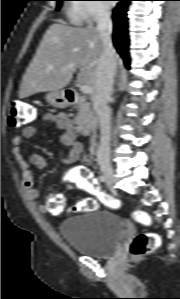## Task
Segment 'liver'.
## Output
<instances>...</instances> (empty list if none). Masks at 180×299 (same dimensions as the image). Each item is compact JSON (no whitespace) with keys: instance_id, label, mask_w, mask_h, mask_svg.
Wrapping results in <instances>:
<instances>
[{"instance_id":"6515ba94","label":"liver","mask_w":180,"mask_h":299,"mask_svg":"<svg viewBox=\"0 0 180 299\" xmlns=\"http://www.w3.org/2000/svg\"><path fill=\"white\" fill-rule=\"evenodd\" d=\"M103 49L97 28L72 27L57 21L47 29L26 69L19 97L23 99L39 92L61 90L69 84L77 69L78 83L95 90L96 71ZM114 60L117 66L119 56L116 53Z\"/></svg>"}]
</instances>
